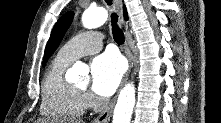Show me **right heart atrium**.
<instances>
[{
  "label": "right heart atrium",
  "instance_id": "right-heart-atrium-1",
  "mask_svg": "<svg viewBox=\"0 0 221 123\" xmlns=\"http://www.w3.org/2000/svg\"><path fill=\"white\" fill-rule=\"evenodd\" d=\"M85 99H86L87 104L92 102V99L89 96H86Z\"/></svg>",
  "mask_w": 221,
  "mask_h": 123
}]
</instances>
